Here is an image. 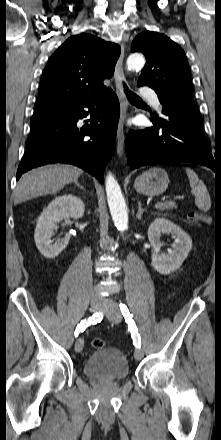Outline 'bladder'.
<instances>
[{
    "instance_id": "1",
    "label": "bladder",
    "mask_w": 221,
    "mask_h": 440,
    "mask_svg": "<svg viewBox=\"0 0 221 440\" xmlns=\"http://www.w3.org/2000/svg\"><path fill=\"white\" fill-rule=\"evenodd\" d=\"M84 374L98 381H120L129 374L126 356L117 348L101 349L89 356L83 365Z\"/></svg>"
}]
</instances>
